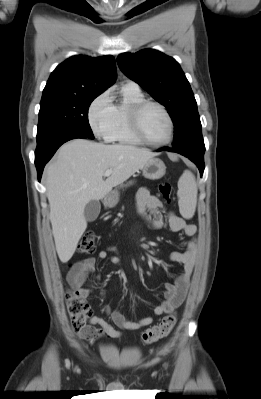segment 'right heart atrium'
Here are the masks:
<instances>
[{
  "instance_id": "1",
  "label": "right heart atrium",
  "mask_w": 261,
  "mask_h": 399,
  "mask_svg": "<svg viewBox=\"0 0 261 399\" xmlns=\"http://www.w3.org/2000/svg\"><path fill=\"white\" fill-rule=\"evenodd\" d=\"M114 119V105L109 92L97 96L88 108V122L98 138L109 140Z\"/></svg>"
}]
</instances>
